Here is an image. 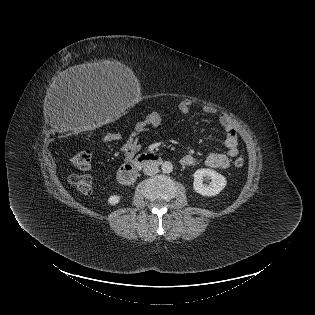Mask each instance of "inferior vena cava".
I'll return each mask as SVG.
<instances>
[{"label":"inferior vena cava","mask_w":315,"mask_h":315,"mask_svg":"<svg viewBox=\"0 0 315 315\" xmlns=\"http://www.w3.org/2000/svg\"><path fill=\"white\" fill-rule=\"evenodd\" d=\"M159 169L155 163L149 162L144 165L143 172L145 175H155L158 173Z\"/></svg>","instance_id":"inferior-vena-cava-1"}]
</instances>
